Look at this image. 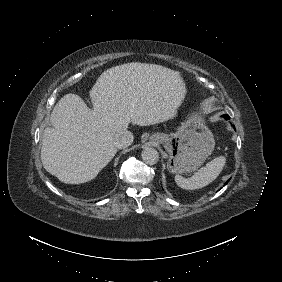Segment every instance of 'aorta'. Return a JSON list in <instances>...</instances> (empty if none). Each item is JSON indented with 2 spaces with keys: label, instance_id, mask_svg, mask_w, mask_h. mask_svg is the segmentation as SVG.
I'll return each mask as SVG.
<instances>
[{
  "label": "aorta",
  "instance_id": "aorta-1",
  "mask_svg": "<svg viewBox=\"0 0 282 282\" xmlns=\"http://www.w3.org/2000/svg\"><path fill=\"white\" fill-rule=\"evenodd\" d=\"M142 159L146 164L149 165H154L158 162L159 160V153L156 149L152 148V147H146L143 151H142Z\"/></svg>",
  "mask_w": 282,
  "mask_h": 282
}]
</instances>
